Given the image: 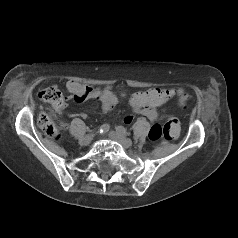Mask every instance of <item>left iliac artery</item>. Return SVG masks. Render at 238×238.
I'll use <instances>...</instances> for the list:
<instances>
[{
    "label": "left iliac artery",
    "mask_w": 238,
    "mask_h": 238,
    "mask_svg": "<svg viewBox=\"0 0 238 238\" xmlns=\"http://www.w3.org/2000/svg\"><path fill=\"white\" fill-rule=\"evenodd\" d=\"M117 131L119 132V133H121L122 135H127L128 133H127V130L123 127V126H118L117 127Z\"/></svg>",
    "instance_id": "44dca946"
}]
</instances>
